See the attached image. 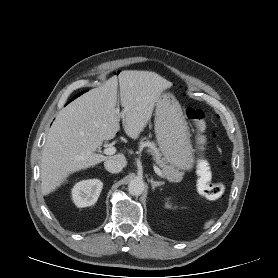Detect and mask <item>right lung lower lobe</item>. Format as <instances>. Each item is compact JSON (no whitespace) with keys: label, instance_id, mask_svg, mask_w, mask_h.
Returning <instances> with one entry per match:
<instances>
[{"label":"right lung lower lobe","instance_id":"obj_1","mask_svg":"<svg viewBox=\"0 0 278 278\" xmlns=\"http://www.w3.org/2000/svg\"><path fill=\"white\" fill-rule=\"evenodd\" d=\"M82 93H84V92H82ZM82 93L78 94L77 96L81 95ZM77 96H75V97H77Z\"/></svg>","mask_w":278,"mask_h":278}]
</instances>
